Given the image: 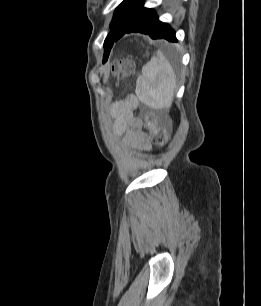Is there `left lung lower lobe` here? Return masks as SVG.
<instances>
[{
    "mask_svg": "<svg viewBox=\"0 0 261 306\" xmlns=\"http://www.w3.org/2000/svg\"><path fill=\"white\" fill-rule=\"evenodd\" d=\"M131 32L148 34L153 39L164 38L170 42H177L172 28L168 24L159 21L153 9L144 8L143 6L128 27L122 32L119 39L125 33Z\"/></svg>",
    "mask_w": 261,
    "mask_h": 306,
    "instance_id": "obj_1",
    "label": "left lung lower lobe"
}]
</instances>
